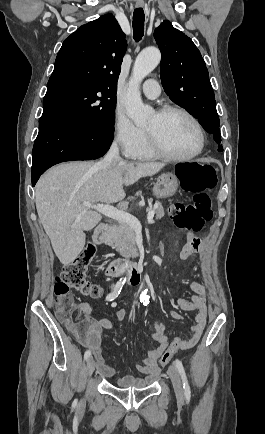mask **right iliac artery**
<instances>
[{
	"instance_id": "obj_1",
	"label": "right iliac artery",
	"mask_w": 265,
	"mask_h": 434,
	"mask_svg": "<svg viewBox=\"0 0 265 434\" xmlns=\"http://www.w3.org/2000/svg\"><path fill=\"white\" fill-rule=\"evenodd\" d=\"M124 282L118 281L114 287V290L106 296L107 301H113L120 294L123 288ZM91 356V351L87 350L84 354V359L87 360Z\"/></svg>"
}]
</instances>
